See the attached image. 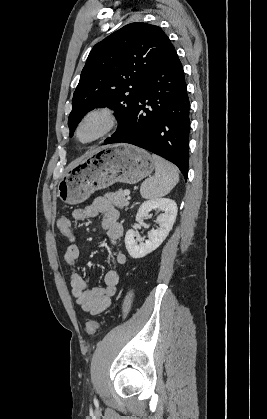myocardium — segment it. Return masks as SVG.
Instances as JSON below:
<instances>
[{"label":"myocardium","mask_w":267,"mask_h":419,"mask_svg":"<svg viewBox=\"0 0 267 419\" xmlns=\"http://www.w3.org/2000/svg\"><path fill=\"white\" fill-rule=\"evenodd\" d=\"M100 122L98 132L91 138L84 140L81 138L82 128L90 121ZM119 123V117L116 110L108 105L96 106L86 111L77 123L75 137L78 142L84 145L93 144L109 135Z\"/></svg>","instance_id":"obj_1"}]
</instances>
